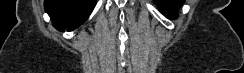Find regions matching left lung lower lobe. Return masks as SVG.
I'll return each instance as SVG.
<instances>
[{"label": "left lung lower lobe", "mask_w": 244, "mask_h": 73, "mask_svg": "<svg viewBox=\"0 0 244 73\" xmlns=\"http://www.w3.org/2000/svg\"><path fill=\"white\" fill-rule=\"evenodd\" d=\"M160 11L166 17H175L176 9L182 4L183 0H154Z\"/></svg>", "instance_id": "0a47b994"}]
</instances>
